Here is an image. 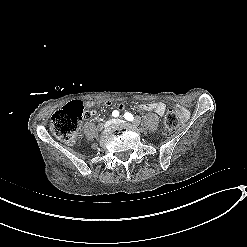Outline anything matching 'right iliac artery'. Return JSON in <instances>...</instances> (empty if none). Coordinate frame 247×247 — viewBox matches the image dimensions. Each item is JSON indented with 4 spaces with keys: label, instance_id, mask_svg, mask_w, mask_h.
I'll use <instances>...</instances> for the list:
<instances>
[{
    "label": "right iliac artery",
    "instance_id": "obj_1",
    "mask_svg": "<svg viewBox=\"0 0 247 247\" xmlns=\"http://www.w3.org/2000/svg\"><path fill=\"white\" fill-rule=\"evenodd\" d=\"M112 116H113V117H118V116H119V112H118L117 110H114V111L112 112Z\"/></svg>",
    "mask_w": 247,
    "mask_h": 247
}]
</instances>
